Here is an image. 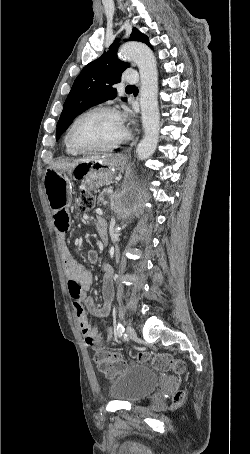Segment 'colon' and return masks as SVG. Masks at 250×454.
<instances>
[{"instance_id": "5ec220e1", "label": "colon", "mask_w": 250, "mask_h": 454, "mask_svg": "<svg viewBox=\"0 0 250 454\" xmlns=\"http://www.w3.org/2000/svg\"><path fill=\"white\" fill-rule=\"evenodd\" d=\"M95 199L92 193L88 191H82L79 200V208L82 211H87L91 209L94 205ZM98 338V334L95 336L94 341ZM95 362L98 369L106 376H114L127 367L126 360L119 355H112L107 351L101 350L97 347V352L95 354ZM139 361L147 362L149 361L152 366L159 371H171L176 374L182 373L184 371V364L178 359H174L169 354H147L140 353L137 357ZM185 393L183 391H178L174 395V402L180 403L183 401Z\"/></svg>"}]
</instances>
